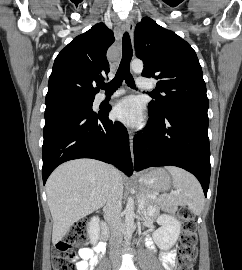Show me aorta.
Here are the masks:
<instances>
[{"label":"aorta","mask_w":242,"mask_h":270,"mask_svg":"<svg viewBox=\"0 0 242 270\" xmlns=\"http://www.w3.org/2000/svg\"><path fill=\"white\" fill-rule=\"evenodd\" d=\"M131 69L135 73H142L143 71V62L139 59H135L130 64ZM125 223H124V229H125V237L129 241L132 238L133 231H134V204L133 199L130 197L128 198L127 205L125 208Z\"/></svg>","instance_id":"1"}]
</instances>
